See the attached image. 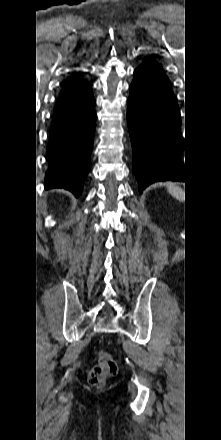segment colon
Returning <instances> with one entry per match:
<instances>
[{
  "mask_svg": "<svg viewBox=\"0 0 221 440\" xmlns=\"http://www.w3.org/2000/svg\"><path fill=\"white\" fill-rule=\"evenodd\" d=\"M98 364L89 373V383L94 387H102L107 378L117 373L118 367L113 357L105 351L97 353Z\"/></svg>",
  "mask_w": 221,
  "mask_h": 440,
  "instance_id": "5ec220e1",
  "label": "colon"
}]
</instances>
